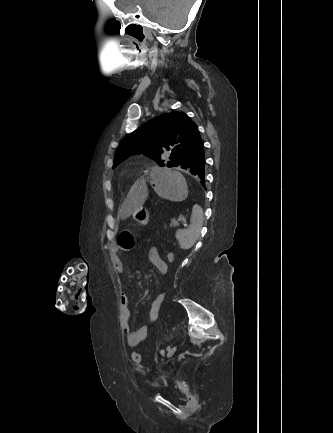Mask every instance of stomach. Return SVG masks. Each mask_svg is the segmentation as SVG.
Here are the masks:
<instances>
[{"label": "stomach", "mask_w": 333, "mask_h": 433, "mask_svg": "<svg viewBox=\"0 0 333 433\" xmlns=\"http://www.w3.org/2000/svg\"><path fill=\"white\" fill-rule=\"evenodd\" d=\"M141 181L153 183L156 193L164 199L183 200L188 194L186 181L176 169H152L150 174H142ZM133 217L142 225H146L149 220L148 211L143 207Z\"/></svg>", "instance_id": "1"}]
</instances>
